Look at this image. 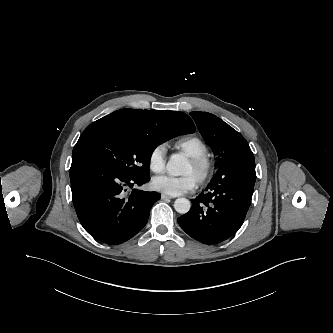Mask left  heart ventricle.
Segmentation results:
<instances>
[{
  "instance_id": "1",
  "label": "left heart ventricle",
  "mask_w": 333,
  "mask_h": 333,
  "mask_svg": "<svg viewBox=\"0 0 333 333\" xmlns=\"http://www.w3.org/2000/svg\"><path fill=\"white\" fill-rule=\"evenodd\" d=\"M182 173L185 174H191L196 178V170L194 166L190 163V161L187 162L185 168L183 169Z\"/></svg>"
}]
</instances>
